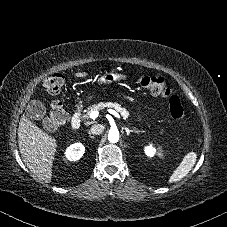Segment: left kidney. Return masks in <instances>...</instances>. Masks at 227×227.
<instances>
[{
    "instance_id": "left-kidney-1",
    "label": "left kidney",
    "mask_w": 227,
    "mask_h": 227,
    "mask_svg": "<svg viewBox=\"0 0 227 227\" xmlns=\"http://www.w3.org/2000/svg\"><path fill=\"white\" fill-rule=\"evenodd\" d=\"M144 151L148 157H153L157 153L156 148H154L152 144H150L149 146H146L144 148ZM158 155H161V153L158 152Z\"/></svg>"
}]
</instances>
